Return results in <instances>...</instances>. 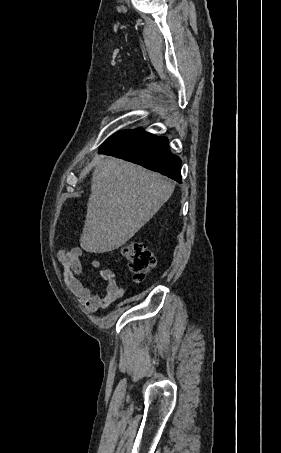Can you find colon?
Segmentation results:
<instances>
[{"mask_svg": "<svg viewBox=\"0 0 281 453\" xmlns=\"http://www.w3.org/2000/svg\"><path fill=\"white\" fill-rule=\"evenodd\" d=\"M120 250L128 262L130 271L139 280L144 279L148 271L157 266V257L143 242L129 240L120 247Z\"/></svg>", "mask_w": 281, "mask_h": 453, "instance_id": "colon-1", "label": "colon"}]
</instances>
